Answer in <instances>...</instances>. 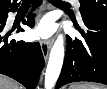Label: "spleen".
Masks as SVG:
<instances>
[{
  "mask_svg": "<svg viewBox=\"0 0 107 89\" xmlns=\"http://www.w3.org/2000/svg\"><path fill=\"white\" fill-rule=\"evenodd\" d=\"M69 89H105V87L91 84H72Z\"/></svg>",
  "mask_w": 107,
  "mask_h": 89,
  "instance_id": "3e777b00",
  "label": "spleen"
}]
</instances>
